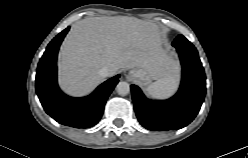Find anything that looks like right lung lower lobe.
I'll use <instances>...</instances> for the list:
<instances>
[{"mask_svg": "<svg viewBox=\"0 0 248 158\" xmlns=\"http://www.w3.org/2000/svg\"><path fill=\"white\" fill-rule=\"evenodd\" d=\"M69 28L49 43L41 57L37 68L36 92L46 113L58 123L75 128H88L94 126L102 117L106 100L118 83L120 75L102 83L87 97L73 98L65 95L57 84L56 59L59 46Z\"/></svg>", "mask_w": 248, "mask_h": 158, "instance_id": "right-lung-lower-lobe-1", "label": "right lung lower lobe"}]
</instances>
